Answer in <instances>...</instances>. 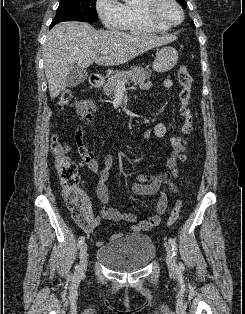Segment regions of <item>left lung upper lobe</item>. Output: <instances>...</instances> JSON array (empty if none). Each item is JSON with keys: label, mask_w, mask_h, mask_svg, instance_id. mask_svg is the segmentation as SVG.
Listing matches in <instances>:
<instances>
[{"label": "left lung upper lobe", "mask_w": 245, "mask_h": 314, "mask_svg": "<svg viewBox=\"0 0 245 314\" xmlns=\"http://www.w3.org/2000/svg\"><path fill=\"white\" fill-rule=\"evenodd\" d=\"M177 1L180 2L184 8L187 7V3H186L185 0H177ZM192 24L194 25V22H193ZM194 26H195V25H194Z\"/></svg>", "instance_id": "1"}]
</instances>
